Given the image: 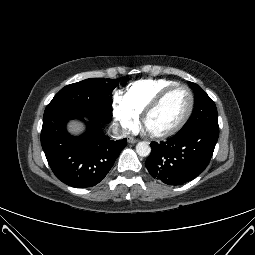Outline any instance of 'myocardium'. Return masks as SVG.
I'll list each match as a JSON object with an SVG mask.
<instances>
[{
	"label": "myocardium",
	"instance_id": "obj_1",
	"mask_svg": "<svg viewBox=\"0 0 255 255\" xmlns=\"http://www.w3.org/2000/svg\"><path fill=\"white\" fill-rule=\"evenodd\" d=\"M179 88L186 89L188 91L189 97H190L189 107H188L185 115L183 116V118L174 127L170 128L166 131L153 132V131L148 130L146 127V122H147L148 117L162 104L164 99L171 92H173ZM194 104H195L194 94L189 86H187L185 84L172 85V86L164 89L163 91H161L144 109V111L142 112V119H141L142 126L145 129V131L149 134V136H151L152 138H155V139L169 138V137L175 135L176 133H178L184 127V125L187 123V121L189 120V118L192 115V112L194 109Z\"/></svg>",
	"mask_w": 255,
	"mask_h": 255
}]
</instances>
